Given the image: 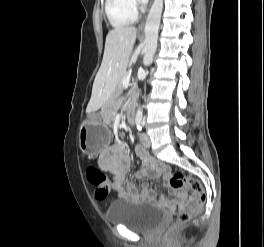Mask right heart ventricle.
<instances>
[{
    "mask_svg": "<svg viewBox=\"0 0 264 247\" xmlns=\"http://www.w3.org/2000/svg\"><path fill=\"white\" fill-rule=\"evenodd\" d=\"M105 11L110 23L116 28L133 24L138 17L127 0H106Z\"/></svg>",
    "mask_w": 264,
    "mask_h": 247,
    "instance_id": "right-heart-ventricle-1",
    "label": "right heart ventricle"
}]
</instances>
